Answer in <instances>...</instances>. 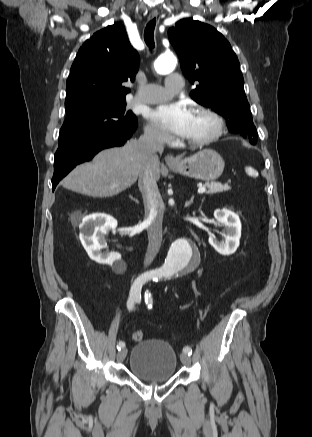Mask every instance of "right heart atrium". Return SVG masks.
Returning <instances> with one entry per match:
<instances>
[{
	"mask_svg": "<svg viewBox=\"0 0 312 437\" xmlns=\"http://www.w3.org/2000/svg\"><path fill=\"white\" fill-rule=\"evenodd\" d=\"M145 136L154 143L164 144L169 141L167 133L162 131L156 125L149 123L145 127Z\"/></svg>",
	"mask_w": 312,
	"mask_h": 437,
	"instance_id": "obj_1",
	"label": "right heart atrium"
}]
</instances>
